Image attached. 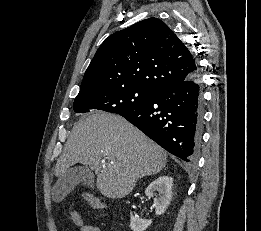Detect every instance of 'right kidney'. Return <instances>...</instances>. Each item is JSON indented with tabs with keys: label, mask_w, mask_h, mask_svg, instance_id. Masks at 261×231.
I'll use <instances>...</instances> for the list:
<instances>
[{
	"label": "right kidney",
	"mask_w": 261,
	"mask_h": 231,
	"mask_svg": "<svg viewBox=\"0 0 261 231\" xmlns=\"http://www.w3.org/2000/svg\"><path fill=\"white\" fill-rule=\"evenodd\" d=\"M173 178L170 176H160L155 179L146 188L145 194L147 197H154V207L156 215H161L166 211L172 197ZM159 195L156 196L155 192ZM152 223V220H144L136 218L132 215L130 217V227L132 231H145Z\"/></svg>",
	"instance_id": "right-kidney-1"
}]
</instances>
